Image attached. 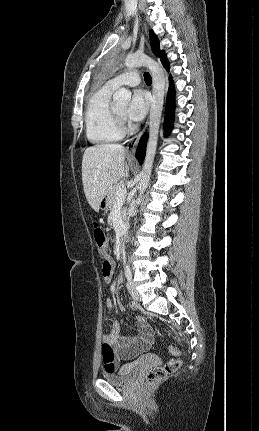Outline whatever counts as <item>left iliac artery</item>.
Segmentation results:
<instances>
[{"label":"left iliac artery","instance_id":"44dca946","mask_svg":"<svg viewBox=\"0 0 259 431\" xmlns=\"http://www.w3.org/2000/svg\"><path fill=\"white\" fill-rule=\"evenodd\" d=\"M125 276H126L127 280L132 279L131 270H130V267L128 264H126V266H125Z\"/></svg>","mask_w":259,"mask_h":431}]
</instances>
